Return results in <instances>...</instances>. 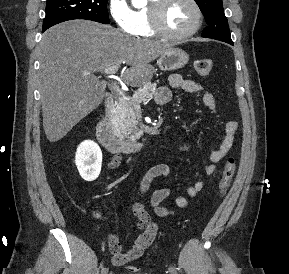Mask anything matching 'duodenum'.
<instances>
[{"label":"duodenum","instance_id":"1","mask_svg":"<svg viewBox=\"0 0 289 274\" xmlns=\"http://www.w3.org/2000/svg\"><path fill=\"white\" fill-rule=\"evenodd\" d=\"M115 110V97L107 93L105 97V110L96 126V135L99 143L114 154H127L143 150L147 143L141 141H128L115 136L113 132V115Z\"/></svg>","mask_w":289,"mask_h":274}]
</instances>
